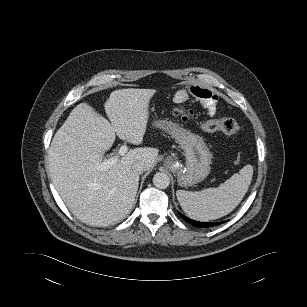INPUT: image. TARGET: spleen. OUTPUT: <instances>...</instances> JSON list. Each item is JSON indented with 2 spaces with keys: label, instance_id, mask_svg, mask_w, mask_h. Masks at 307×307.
<instances>
[{
  "label": "spleen",
  "instance_id": "3e777b00",
  "mask_svg": "<svg viewBox=\"0 0 307 307\" xmlns=\"http://www.w3.org/2000/svg\"><path fill=\"white\" fill-rule=\"evenodd\" d=\"M252 176L253 167L248 164L216 188L198 192L178 190L177 200L183 211L195 220L218 219L229 214L241 202Z\"/></svg>",
  "mask_w": 307,
  "mask_h": 307
}]
</instances>
